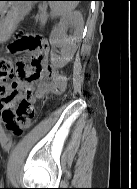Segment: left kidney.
Here are the masks:
<instances>
[{"label": "left kidney", "mask_w": 137, "mask_h": 189, "mask_svg": "<svg viewBox=\"0 0 137 189\" xmlns=\"http://www.w3.org/2000/svg\"><path fill=\"white\" fill-rule=\"evenodd\" d=\"M72 10L73 8H67L66 11L62 13L60 22L53 29L50 36L52 45L61 48V56L51 53V62L58 66H64L70 61L73 55L69 48L70 40L65 35V29L69 21L80 22L82 16L79 12Z\"/></svg>", "instance_id": "5707ae66"}]
</instances>
